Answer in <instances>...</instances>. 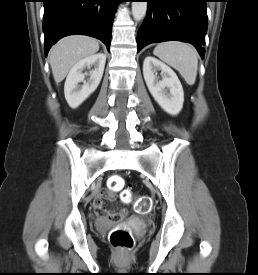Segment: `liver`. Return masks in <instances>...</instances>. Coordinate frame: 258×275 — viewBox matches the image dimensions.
<instances>
[{"instance_id":"1","label":"liver","mask_w":258,"mask_h":275,"mask_svg":"<svg viewBox=\"0 0 258 275\" xmlns=\"http://www.w3.org/2000/svg\"><path fill=\"white\" fill-rule=\"evenodd\" d=\"M98 50L99 42L88 36L72 35L58 41L49 52L55 82L59 84L77 62Z\"/></svg>"}]
</instances>
